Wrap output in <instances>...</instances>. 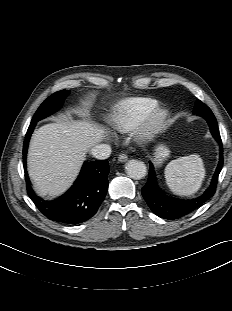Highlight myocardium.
Returning a JSON list of instances; mask_svg holds the SVG:
<instances>
[{
	"label": "myocardium",
	"instance_id": "1",
	"mask_svg": "<svg viewBox=\"0 0 232 311\" xmlns=\"http://www.w3.org/2000/svg\"><path fill=\"white\" fill-rule=\"evenodd\" d=\"M168 116V110L156 107L149 112L135 128V136L138 141L151 140L163 127Z\"/></svg>",
	"mask_w": 232,
	"mask_h": 311
}]
</instances>
